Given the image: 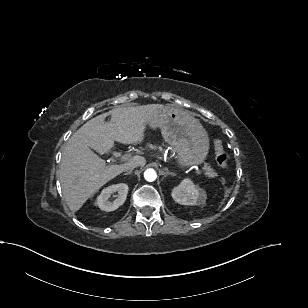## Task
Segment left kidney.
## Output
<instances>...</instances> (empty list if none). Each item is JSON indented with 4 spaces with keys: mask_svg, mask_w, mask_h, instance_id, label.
Returning <instances> with one entry per match:
<instances>
[{
    "mask_svg": "<svg viewBox=\"0 0 308 308\" xmlns=\"http://www.w3.org/2000/svg\"><path fill=\"white\" fill-rule=\"evenodd\" d=\"M171 195L175 202L182 205H196L205 198V194L189 179H184Z\"/></svg>",
    "mask_w": 308,
    "mask_h": 308,
    "instance_id": "left-kidney-1",
    "label": "left kidney"
}]
</instances>
